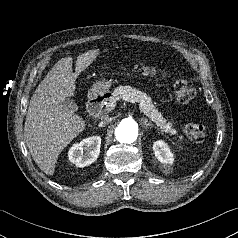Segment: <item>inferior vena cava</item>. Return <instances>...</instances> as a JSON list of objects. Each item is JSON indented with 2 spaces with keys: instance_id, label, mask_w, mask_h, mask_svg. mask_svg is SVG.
Returning <instances> with one entry per match:
<instances>
[{
  "instance_id": "obj_1",
  "label": "inferior vena cava",
  "mask_w": 238,
  "mask_h": 238,
  "mask_svg": "<svg viewBox=\"0 0 238 238\" xmlns=\"http://www.w3.org/2000/svg\"><path fill=\"white\" fill-rule=\"evenodd\" d=\"M102 119L103 121L100 122L99 126L106 125L111 121V118H109L108 116H103Z\"/></svg>"
}]
</instances>
